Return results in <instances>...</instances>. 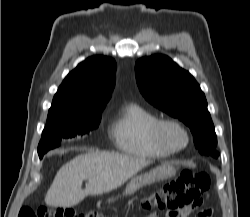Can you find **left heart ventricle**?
Masks as SVG:
<instances>
[{
  "label": "left heart ventricle",
  "mask_w": 250,
  "mask_h": 217,
  "mask_svg": "<svg viewBox=\"0 0 250 217\" xmlns=\"http://www.w3.org/2000/svg\"><path fill=\"white\" fill-rule=\"evenodd\" d=\"M168 138L174 144H181L184 141L183 136L175 130L169 131Z\"/></svg>",
  "instance_id": "obj_1"
}]
</instances>
